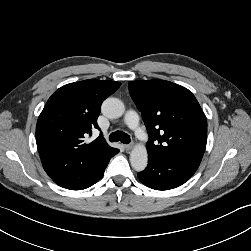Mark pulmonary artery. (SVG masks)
<instances>
[{"label":"pulmonary artery","mask_w":251,"mask_h":251,"mask_svg":"<svg viewBox=\"0 0 251 251\" xmlns=\"http://www.w3.org/2000/svg\"><path fill=\"white\" fill-rule=\"evenodd\" d=\"M125 122L131 129L135 131V134L137 135L138 138L140 139L145 138L144 130L140 126L139 117L135 111L130 110L126 113Z\"/></svg>","instance_id":"1"}]
</instances>
